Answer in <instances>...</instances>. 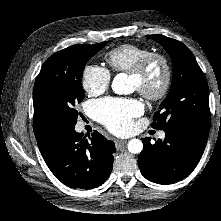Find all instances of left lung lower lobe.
Returning <instances> with one entry per match:
<instances>
[{
    "mask_svg": "<svg viewBox=\"0 0 221 221\" xmlns=\"http://www.w3.org/2000/svg\"><path fill=\"white\" fill-rule=\"evenodd\" d=\"M164 131L163 141L159 139L151 144V138L143 140L138 165L145 178L167 185L182 180L194 170L204 152L209 131L187 125Z\"/></svg>",
    "mask_w": 221,
    "mask_h": 221,
    "instance_id": "left-lung-lower-lobe-1",
    "label": "left lung lower lobe"
}]
</instances>
